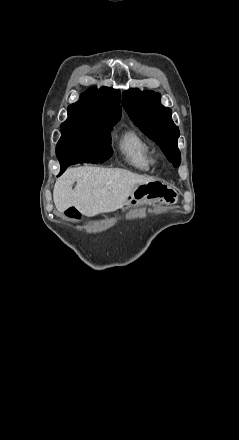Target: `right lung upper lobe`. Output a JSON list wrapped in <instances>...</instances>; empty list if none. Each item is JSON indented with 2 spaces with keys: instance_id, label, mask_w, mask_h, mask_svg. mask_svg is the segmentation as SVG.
I'll return each mask as SVG.
<instances>
[{
  "instance_id": "cb5924a9",
  "label": "right lung upper lobe",
  "mask_w": 239,
  "mask_h": 440,
  "mask_svg": "<svg viewBox=\"0 0 239 440\" xmlns=\"http://www.w3.org/2000/svg\"><path fill=\"white\" fill-rule=\"evenodd\" d=\"M120 97V92L112 88H91L68 107V115L118 122L121 118Z\"/></svg>"
}]
</instances>
